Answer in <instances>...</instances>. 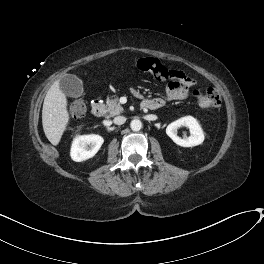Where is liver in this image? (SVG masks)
Segmentation results:
<instances>
[{"label":"liver","mask_w":264,"mask_h":264,"mask_svg":"<svg viewBox=\"0 0 264 264\" xmlns=\"http://www.w3.org/2000/svg\"><path fill=\"white\" fill-rule=\"evenodd\" d=\"M69 119L67 98L58 79L49 88L42 109L43 130L51 144H59Z\"/></svg>","instance_id":"6515ba94"}]
</instances>
